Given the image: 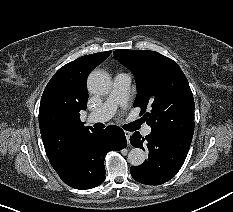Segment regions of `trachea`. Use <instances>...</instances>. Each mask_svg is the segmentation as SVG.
Wrapping results in <instances>:
<instances>
[{"label": "trachea", "mask_w": 233, "mask_h": 212, "mask_svg": "<svg viewBox=\"0 0 233 212\" xmlns=\"http://www.w3.org/2000/svg\"><path fill=\"white\" fill-rule=\"evenodd\" d=\"M95 127H96V128H103L104 125H103L102 123H96V124H95ZM124 129H126V130H128V131H131L129 125H125V126H124Z\"/></svg>", "instance_id": "trachea-1"}]
</instances>
